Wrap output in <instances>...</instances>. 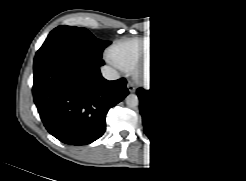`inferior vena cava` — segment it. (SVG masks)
I'll return each instance as SVG.
<instances>
[{
    "instance_id": "1",
    "label": "inferior vena cava",
    "mask_w": 246,
    "mask_h": 181,
    "mask_svg": "<svg viewBox=\"0 0 246 181\" xmlns=\"http://www.w3.org/2000/svg\"><path fill=\"white\" fill-rule=\"evenodd\" d=\"M101 72H102L103 77L107 80H115L120 77L119 73L115 69L109 66L102 67Z\"/></svg>"
}]
</instances>
